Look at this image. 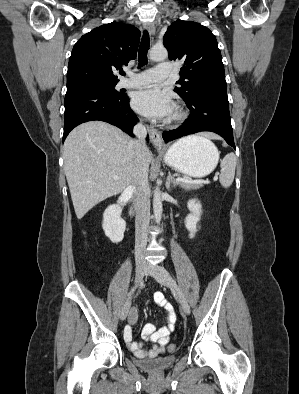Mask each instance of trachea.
I'll use <instances>...</instances> for the list:
<instances>
[{
	"mask_svg": "<svg viewBox=\"0 0 299 394\" xmlns=\"http://www.w3.org/2000/svg\"><path fill=\"white\" fill-rule=\"evenodd\" d=\"M150 46V38H149V33L147 30L143 32L142 40L140 43L139 51H138V68H141L142 66L147 64V53L149 50ZM121 75H125V72H121Z\"/></svg>",
	"mask_w": 299,
	"mask_h": 394,
	"instance_id": "1",
	"label": "trachea"
}]
</instances>
